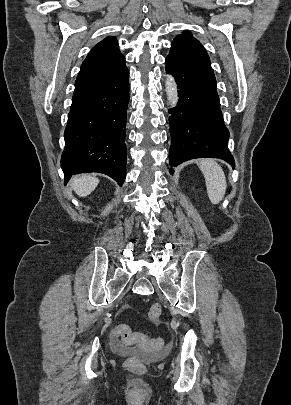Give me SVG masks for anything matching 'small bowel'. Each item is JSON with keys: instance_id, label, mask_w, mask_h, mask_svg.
Returning <instances> with one entry per match:
<instances>
[{"instance_id": "1", "label": "small bowel", "mask_w": 291, "mask_h": 405, "mask_svg": "<svg viewBox=\"0 0 291 405\" xmlns=\"http://www.w3.org/2000/svg\"><path fill=\"white\" fill-rule=\"evenodd\" d=\"M123 310H127V307H125Z\"/></svg>"}]
</instances>
